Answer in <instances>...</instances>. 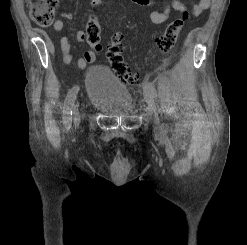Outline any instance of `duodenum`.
I'll return each instance as SVG.
<instances>
[{
    "instance_id": "410a0bca",
    "label": "duodenum",
    "mask_w": 247,
    "mask_h": 245,
    "mask_svg": "<svg viewBox=\"0 0 247 245\" xmlns=\"http://www.w3.org/2000/svg\"><path fill=\"white\" fill-rule=\"evenodd\" d=\"M95 2H97V3H100L102 0H94Z\"/></svg>"
}]
</instances>
